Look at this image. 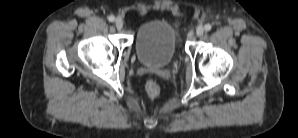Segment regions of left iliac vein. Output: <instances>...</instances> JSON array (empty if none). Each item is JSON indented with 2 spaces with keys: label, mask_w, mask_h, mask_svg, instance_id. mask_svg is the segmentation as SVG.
<instances>
[{
  "label": "left iliac vein",
  "mask_w": 298,
  "mask_h": 138,
  "mask_svg": "<svg viewBox=\"0 0 298 138\" xmlns=\"http://www.w3.org/2000/svg\"><path fill=\"white\" fill-rule=\"evenodd\" d=\"M203 33H204V27H203L202 25H199V26L196 28V35H197V36H201Z\"/></svg>",
  "instance_id": "4c4485c4"
}]
</instances>
